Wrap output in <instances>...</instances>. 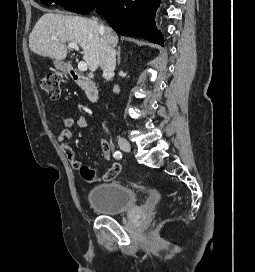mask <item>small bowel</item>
Returning a JSON list of instances; mask_svg holds the SVG:
<instances>
[{"instance_id": "c3829d8e", "label": "small bowel", "mask_w": 255, "mask_h": 272, "mask_svg": "<svg viewBox=\"0 0 255 272\" xmlns=\"http://www.w3.org/2000/svg\"><path fill=\"white\" fill-rule=\"evenodd\" d=\"M64 128L59 133L57 139L61 146L62 151L65 153L69 163L74 168H79L81 166V160L75 153V151L68 145V141L73 135L74 130H82L87 124L88 120L85 115H80L76 120L71 117H64L62 120ZM101 148L106 157L110 156L111 145L106 139H101ZM121 170V165L118 162H113L110 170L98 177L86 179V182L89 184L108 182L117 177Z\"/></svg>"}]
</instances>
